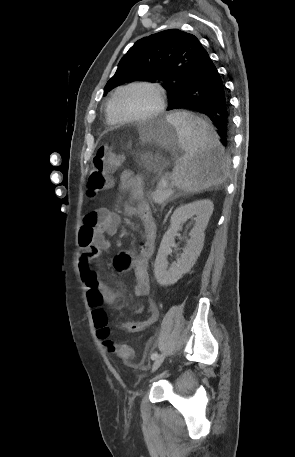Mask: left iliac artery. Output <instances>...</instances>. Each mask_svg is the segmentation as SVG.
I'll return each mask as SVG.
<instances>
[{"instance_id":"44dca946","label":"left iliac artery","mask_w":295,"mask_h":457,"mask_svg":"<svg viewBox=\"0 0 295 457\" xmlns=\"http://www.w3.org/2000/svg\"><path fill=\"white\" fill-rule=\"evenodd\" d=\"M157 357H158V353H157V352H155V353H153V354L151 355V359H152V360L156 359Z\"/></svg>"}]
</instances>
